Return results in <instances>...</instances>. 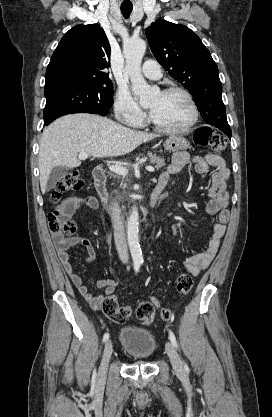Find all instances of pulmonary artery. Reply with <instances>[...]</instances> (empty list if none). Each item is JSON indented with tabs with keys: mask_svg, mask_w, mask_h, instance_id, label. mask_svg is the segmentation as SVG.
<instances>
[{
	"mask_svg": "<svg viewBox=\"0 0 272 417\" xmlns=\"http://www.w3.org/2000/svg\"><path fill=\"white\" fill-rule=\"evenodd\" d=\"M142 74L150 80H158L162 77V70L156 61L147 60L143 64Z\"/></svg>",
	"mask_w": 272,
	"mask_h": 417,
	"instance_id": "e3ab8cb5",
	"label": "pulmonary artery"
}]
</instances>
